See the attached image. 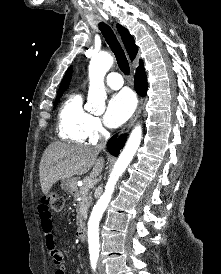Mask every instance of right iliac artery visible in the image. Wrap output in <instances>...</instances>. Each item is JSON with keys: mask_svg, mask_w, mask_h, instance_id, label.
<instances>
[{"mask_svg": "<svg viewBox=\"0 0 221 274\" xmlns=\"http://www.w3.org/2000/svg\"><path fill=\"white\" fill-rule=\"evenodd\" d=\"M97 261H98L97 256H91L90 257L91 266H92V269H93L94 272L96 271Z\"/></svg>", "mask_w": 221, "mask_h": 274, "instance_id": "82829eb1", "label": "right iliac artery"}]
</instances>
